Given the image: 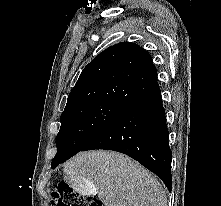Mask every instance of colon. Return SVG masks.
I'll list each match as a JSON object with an SVG mask.
<instances>
[{
	"label": "colon",
	"mask_w": 221,
	"mask_h": 206,
	"mask_svg": "<svg viewBox=\"0 0 221 206\" xmlns=\"http://www.w3.org/2000/svg\"><path fill=\"white\" fill-rule=\"evenodd\" d=\"M52 206H103L95 198H84L81 194H72L70 186L60 182L52 191Z\"/></svg>",
	"instance_id": "colon-1"
}]
</instances>
